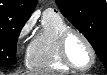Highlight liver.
<instances>
[{"label": "liver", "instance_id": "1", "mask_svg": "<svg viewBox=\"0 0 107 75\" xmlns=\"http://www.w3.org/2000/svg\"><path fill=\"white\" fill-rule=\"evenodd\" d=\"M12 75H32V74H30L29 72H25V73H22V74H20L19 72H16Z\"/></svg>", "mask_w": 107, "mask_h": 75}]
</instances>
